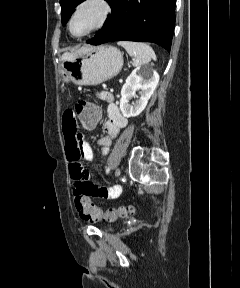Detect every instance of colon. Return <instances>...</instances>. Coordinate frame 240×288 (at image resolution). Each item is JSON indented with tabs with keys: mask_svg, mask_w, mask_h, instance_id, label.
Returning a JSON list of instances; mask_svg holds the SVG:
<instances>
[{
	"mask_svg": "<svg viewBox=\"0 0 240 288\" xmlns=\"http://www.w3.org/2000/svg\"><path fill=\"white\" fill-rule=\"evenodd\" d=\"M75 114L85 128H93L101 118V109L99 105L83 99L75 103ZM75 206L79 215L88 221H107L113 222L119 217H127L133 212L131 206H120L118 208H109L102 210L90 200L89 196L75 190Z\"/></svg>",
	"mask_w": 240,
	"mask_h": 288,
	"instance_id": "obj_1",
	"label": "colon"
}]
</instances>
